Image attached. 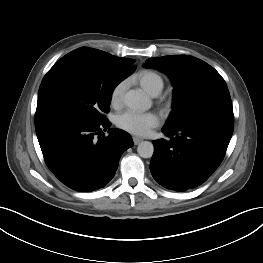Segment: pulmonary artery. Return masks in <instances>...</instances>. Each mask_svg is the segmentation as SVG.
<instances>
[{"mask_svg": "<svg viewBox=\"0 0 263 263\" xmlns=\"http://www.w3.org/2000/svg\"><path fill=\"white\" fill-rule=\"evenodd\" d=\"M156 95H158L157 93H155L153 96H156Z\"/></svg>", "mask_w": 263, "mask_h": 263, "instance_id": "pulmonary-artery-1", "label": "pulmonary artery"}]
</instances>
